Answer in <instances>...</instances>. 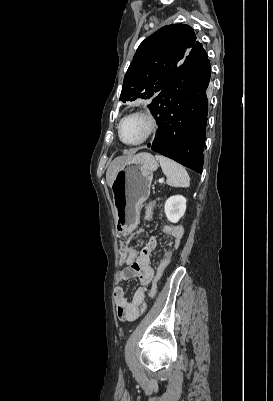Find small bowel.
Returning a JSON list of instances; mask_svg holds the SVG:
<instances>
[{"mask_svg":"<svg viewBox=\"0 0 273 401\" xmlns=\"http://www.w3.org/2000/svg\"><path fill=\"white\" fill-rule=\"evenodd\" d=\"M166 233L170 236L177 234L172 227L166 228ZM131 241L132 235H128L121 245L120 261L126 262L127 266L118 272L117 280L120 284L114 290L116 311L121 321H134L145 312L147 308V287L149 286V284H141L129 300L126 296L123 283L137 279L138 271L154 272L150 263V255L157 247V240L154 237H150L148 241L141 243L140 248L130 246ZM165 255L171 256V250H165Z\"/></svg>","mask_w":273,"mask_h":401,"instance_id":"1","label":"small bowel"}]
</instances>
